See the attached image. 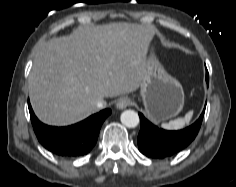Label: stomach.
<instances>
[{
	"instance_id": "obj_1",
	"label": "stomach",
	"mask_w": 236,
	"mask_h": 187,
	"mask_svg": "<svg viewBox=\"0 0 236 187\" xmlns=\"http://www.w3.org/2000/svg\"><path fill=\"white\" fill-rule=\"evenodd\" d=\"M140 95L147 116L157 123L177 116L184 106L182 85L165 71L153 50L146 58Z\"/></svg>"
}]
</instances>
